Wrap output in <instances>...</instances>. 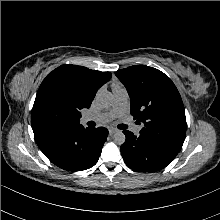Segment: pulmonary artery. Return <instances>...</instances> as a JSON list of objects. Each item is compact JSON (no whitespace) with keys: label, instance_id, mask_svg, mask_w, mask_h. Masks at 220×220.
<instances>
[{"label":"pulmonary artery","instance_id":"pulmonary-artery-1","mask_svg":"<svg viewBox=\"0 0 220 220\" xmlns=\"http://www.w3.org/2000/svg\"><path fill=\"white\" fill-rule=\"evenodd\" d=\"M112 92H113V97H114L112 110L107 113L85 115L81 119L82 122L94 121V122L103 124V123L109 122L112 118L118 115L124 114L128 107L127 90L122 85H117L113 87ZM140 129H141L140 126H133L132 128L133 132L135 133H138Z\"/></svg>","mask_w":220,"mask_h":220}]
</instances>
